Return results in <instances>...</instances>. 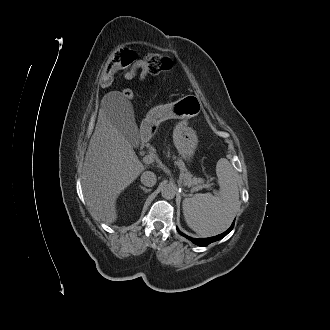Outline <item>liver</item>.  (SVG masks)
Here are the masks:
<instances>
[{
  "mask_svg": "<svg viewBox=\"0 0 330 330\" xmlns=\"http://www.w3.org/2000/svg\"><path fill=\"white\" fill-rule=\"evenodd\" d=\"M150 114L140 126V135L151 133ZM145 166L130 141L115 122L114 107L102 105L90 139L82 174L85 201L94 216L110 224L116 221V199Z\"/></svg>",
  "mask_w": 330,
  "mask_h": 330,
  "instance_id": "liver-1",
  "label": "liver"
}]
</instances>
